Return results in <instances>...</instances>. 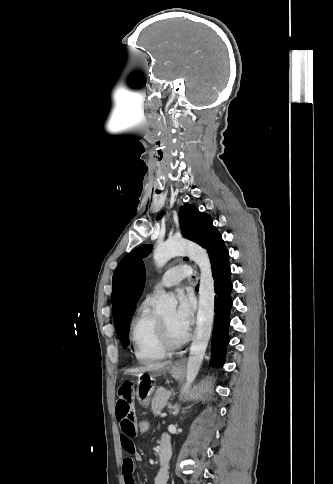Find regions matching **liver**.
Wrapping results in <instances>:
<instances>
[{
    "mask_svg": "<svg viewBox=\"0 0 333 484\" xmlns=\"http://www.w3.org/2000/svg\"><path fill=\"white\" fill-rule=\"evenodd\" d=\"M171 364H172L171 361L150 363L146 366L129 370L128 372L129 373H145V372L164 373L168 370Z\"/></svg>",
    "mask_w": 333,
    "mask_h": 484,
    "instance_id": "obj_1",
    "label": "liver"
}]
</instances>
